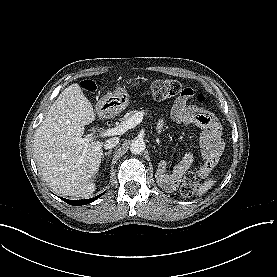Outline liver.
Masks as SVG:
<instances>
[{"label": "liver", "instance_id": "obj_1", "mask_svg": "<svg viewBox=\"0 0 277 277\" xmlns=\"http://www.w3.org/2000/svg\"><path fill=\"white\" fill-rule=\"evenodd\" d=\"M95 120L93 106L78 83L68 86L50 107L34 135V158L44 180L59 195H90L99 171L103 142L82 138Z\"/></svg>", "mask_w": 277, "mask_h": 277}]
</instances>
